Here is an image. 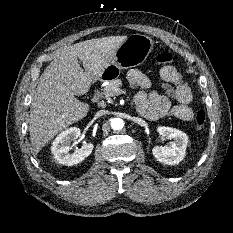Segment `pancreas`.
Masks as SVG:
<instances>
[{"instance_id": "pancreas-1", "label": "pancreas", "mask_w": 233, "mask_h": 233, "mask_svg": "<svg viewBox=\"0 0 233 233\" xmlns=\"http://www.w3.org/2000/svg\"><path fill=\"white\" fill-rule=\"evenodd\" d=\"M122 81L120 79H113L103 88L105 98H110L119 95Z\"/></svg>"}]
</instances>
